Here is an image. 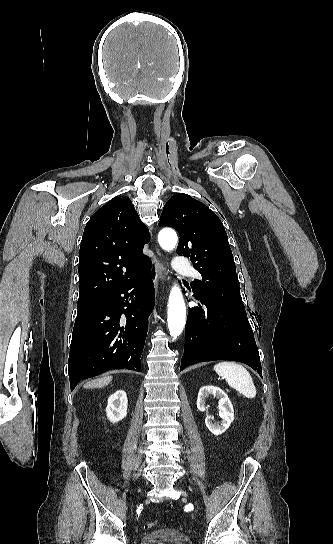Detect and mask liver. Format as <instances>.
<instances>
[{
  "label": "liver",
  "instance_id": "1",
  "mask_svg": "<svg viewBox=\"0 0 333 544\" xmlns=\"http://www.w3.org/2000/svg\"><path fill=\"white\" fill-rule=\"evenodd\" d=\"M112 381V376H105L102 378H98L96 380H93L85 385L86 388H101L106 385H108Z\"/></svg>",
  "mask_w": 333,
  "mask_h": 544
}]
</instances>
